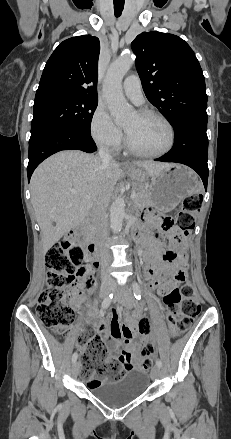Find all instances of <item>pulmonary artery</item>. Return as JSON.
Returning <instances> with one entry per match:
<instances>
[{
  "label": "pulmonary artery",
  "mask_w": 231,
  "mask_h": 439,
  "mask_svg": "<svg viewBox=\"0 0 231 439\" xmlns=\"http://www.w3.org/2000/svg\"><path fill=\"white\" fill-rule=\"evenodd\" d=\"M123 90L127 97L135 104L140 105L143 103V93L137 75H130L124 79Z\"/></svg>",
  "instance_id": "1"
}]
</instances>
